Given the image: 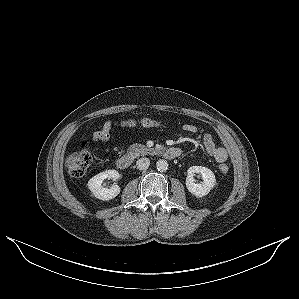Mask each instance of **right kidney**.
<instances>
[{
	"label": "right kidney",
	"instance_id": "1",
	"mask_svg": "<svg viewBox=\"0 0 299 299\" xmlns=\"http://www.w3.org/2000/svg\"><path fill=\"white\" fill-rule=\"evenodd\" d=\"M119 173L116 170H106L101 172L88 181V187L93 195L100 200H111L120 193L118 185H112L110 188H104L102 182L106 178L113 179L114 181L119 178Z\"/></svg>",
	"mask_w": 299,
	"mask_h": 299
}]
</instances>
